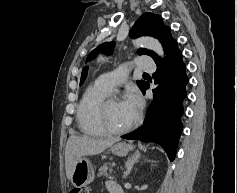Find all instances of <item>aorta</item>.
Wrapping results in <instances>:
<instances>
[{"instance_id": "obj_1", "label": "aorta", "mask_w": 237, "mask_h": 193, "mask_svg": "<svg viewBox=\"0 0 237 193\" xmlns=\"http://www.w3.org/2000/svg\"><path fill=\"white\" fill-rule=\"evenodd\" d=\"M134 45L137 47H145L147 49L153 50L158 56L164 58V50L161 43L153 37H140L134 41Z\"/></svg>"}]
</instances>
